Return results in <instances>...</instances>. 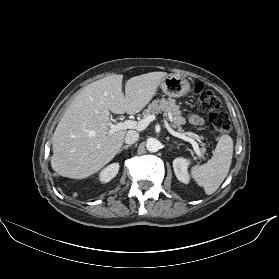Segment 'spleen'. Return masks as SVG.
<instances>
[{
	"instance_id": "3e777b00",
	"label": "spleen",
	"mask_w": 279,
	"mask_h": 279,
	"mask_svg": "<svg viewBox=\"0 0 279 279\" xmlns=\"http://www.w3.org/2000/svg\"><path fill=\"white\" fill-rule=\"evenodd\" d=\"M233 156V140L222 135L216 145L213 157L203 165H195L191 174L197 184L204 188L208 195L213 194L226 178Z\"/></svg>"
}]
</instances>
